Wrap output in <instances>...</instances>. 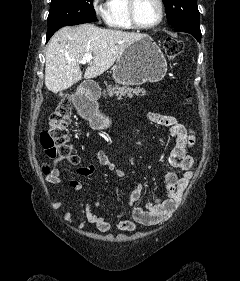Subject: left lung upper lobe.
I'll return each mask as SVG.
<instances>
[{"instance_id":"5c2ea615","label":"left lung upper lobe","mask_w":240,"mask_h":281,"mask_svg":"<svg viewBox=\"0 0 240 281\" xmlns=\"http://www.w3.org/2000/svg\"><path fill=\"white\" fill-rule=\"evenodd\" d=\"M167 21L173 27H199V10L196 0H163Z\"/></svg>"}]
</instances>
